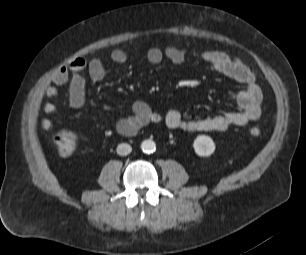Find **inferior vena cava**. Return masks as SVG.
<instances>
[{"label":"inferior vena cava","mask_w":306,"mask_h":255,"mask_svg":"<svg viewBox=\"0 0 306 255\" xmlns=\"http://www.w3.org/2000/svg\"><path fill=\"white\" fill-rule=\"evenodd\" d=\"M132 151V147L127 143H122L117 146V154L126 156Z\"/></svg>","instance_id":"obj_1"}]
</instances>
